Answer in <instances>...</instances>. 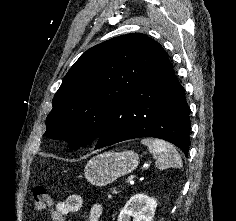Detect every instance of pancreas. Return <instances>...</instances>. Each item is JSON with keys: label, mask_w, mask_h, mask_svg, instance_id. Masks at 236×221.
I'll use <instances>...</instances> for the list:
<instances>
[{"label": "pancreas", "mask_w": 236, "mask_h": 221, "mask_svg": "<svg viewBox=\"0 0 236 221\" xmlns=\"http://www.w3.org/2000/svg\"><path fill=\"white\" fill-rule=\"evenodd\" d=\"M115 193H116V190H111V192L108 194V197L112 198V194H115Z\"/></svg>", "instance_id": "pancreas-1"}]
</instances>
